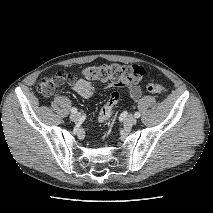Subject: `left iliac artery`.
<instances>
[{"label": "left iliac artery", "instance_id": "1", "mask_svg": "<svg viewBox=\"0 0 213 213\" xmlns=\"http://www.w3.org/2000/svg\"><path fill=\"white\" fill-rule=\"evenodd\" d=\"M134 116H135L136 118H139V117H140V113H139V112H135Z\"/></svg>", "mask_w": 213, "mask_h": 213}]
</instances>
